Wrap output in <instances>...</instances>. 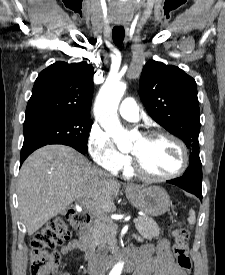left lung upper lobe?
Segmentation results:
<instances>
[{
  "label": "left lung upper lobe",
  "mask_w": 225,
  "mask_h": 275,
  "mask_svg": "<svg viewBox=\"0 0 225 275\" xmlns=\"http://www.w3.org/2000/svg\"><path fill=\"white\" fill-rule=\"evenodd\" d=\"M140 96L150 116L190 149V163L200 161V110L195 80L176 66L148 61L140 77Z\"/></svg>",
  "instance_id": "obj_1"
}]
</instances>
